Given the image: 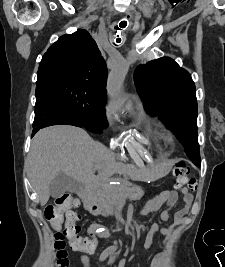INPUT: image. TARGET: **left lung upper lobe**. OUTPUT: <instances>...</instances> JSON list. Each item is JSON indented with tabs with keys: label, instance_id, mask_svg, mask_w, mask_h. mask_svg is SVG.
I'll list each match as a JSON object with an SVG mask.
<instances>
[{
	"label": "left lung upper lobe",
	"instance_id": "1",
	"mask_svg": "<svg viewBox=\"0 0 225 267\" xmlns=\"http://www.w3.org/2000/svg\"><path fill=\"white\" fill-rule=\"evenodd\" d=\"M134 82L147 113L158 116L179 139L186 155L200 166L196 90L191 75L171 58L139 65Z\"/></svg>",
	"mask_w": 225,
	"mask_h": 267
}]
</instances>
